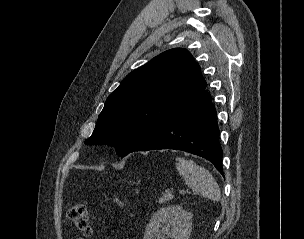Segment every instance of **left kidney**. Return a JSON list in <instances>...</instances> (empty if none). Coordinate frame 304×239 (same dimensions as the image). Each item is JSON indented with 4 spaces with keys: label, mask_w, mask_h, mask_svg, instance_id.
I'll return each mask as SVG.
<instances>
[{
    "label": "left kidney",
    "mask_w": 304,
    "mask_h": 239,
    "mask_svg": "<svg viewBox=\"0 0 304 239\" xmlns=\"http://www.w3.org/2000/svg\"><path fill=\"white\" fill-rule=\"evenodd\" d=\"M192 231V215L181 206L161 208L153 214L146 227L144 239H189Z\"/></svg>",
    "instance_id": "obj_1"
}]
</instances>
